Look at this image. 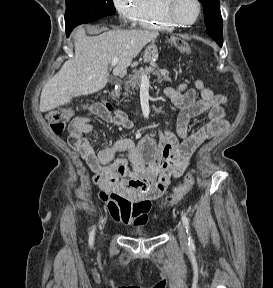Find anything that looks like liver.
<instances>
[{
	"mask_svg": "<svg viewBox=\"0 0 273 288\" xmlns=\"http://www.w3.org/2000/svg\"><path fill=\"white\" fill-rule=\"evenodd\" d=\"M159 36L149 30H111L87 36L83 27L73 32L75 55L43 87L40 111L47 112L69 103L73 97L102 90L108 82V67L119 58L113 75L120 76L150 41Z\"/></svg>",
	"mask_w": 273,
	"mask_h": 288,
	"instance_id": "1",
	"label": "liver"
}]
</instances>
